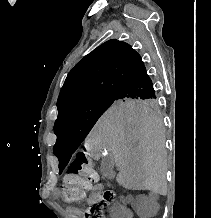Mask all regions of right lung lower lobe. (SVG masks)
<instances>
[{
    "mask_svg": "<svg viewBox=\"0 0 211 218\" xmlns=\"http://www.w3.org/2000/svg\"><path fill=\"white\" fill-rule=\"evenodd\" d=\"M117 96L146 98L157 97L153 83L147 75L144 65L128 79V81L120 89Z\"/></svg>",
    "mask_w": 211,
    "mask_h": 218,
    "instance_id": "obj_1",
    "label": "right lung lower lobe"
}]
</instances>
